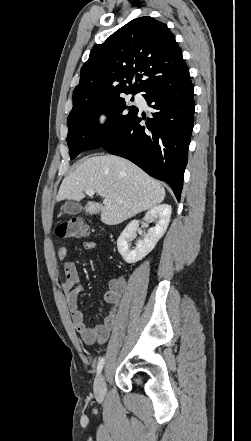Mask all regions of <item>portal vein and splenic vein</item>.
<instances>
[{
	"mask_svg": "<svg viewBox=\"0 0 251 441\" xmlns=\"http://www.w3.org/2000/svg\"><path fill=\"white\" fill-rule=\"evenodd\" d=\"M85 193H86L88 196H93V195L95 194V191H94L93 189H88V190L85 191ZM103 203H104L105 205H109V204H110V200H109V199H104Z\"/></svg>",
	"mask_w": 251,
	"mask_h": 441,
	"instance_id": "portal-vein-and-splenic-vein-1",
	"label": "portal vein and splenic vein"
}]
</instances>
